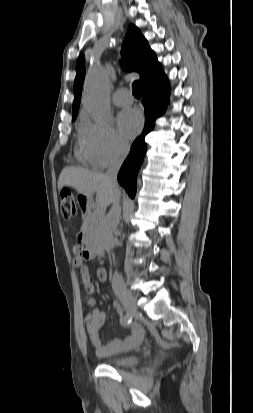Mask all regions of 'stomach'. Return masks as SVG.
Here are the masks:
<instances>
[{
	"instance_id": "0dacf381",
	"label": "stomach",
	"mask_w": 253,
	"mask_h": 413,
	"mask_svg": "<svg viewBox=\"0 0 253 413\" xmlns=\"http://www.w3.org/2000/svg\"><path fill=\"white\" fill-rule=\"evenodd\" d=\"M77 200L78 202L81 201L82 203H86V206H89L90 202H91V198L83 195V194H79L77 196Z\"/></svg>"
}]
</instances>
